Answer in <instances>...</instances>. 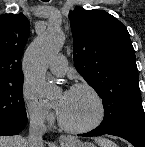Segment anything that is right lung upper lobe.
<instances>
[{"label": "right lung upper lobe", "instance_id": "1", "mask_svg": "<svg viewBox=\"0 0 145 147\" xmlns=\"http://www.w3.org/2000/svg\"><path fill=\"white\" fill-rule=\"evenodd\" d=\"M30 24L23 14L0 16V84L24 78L21 57Z\"/></svg>", "mask_w": 145, "mask_h": 147}]
</instances>
